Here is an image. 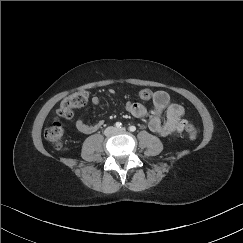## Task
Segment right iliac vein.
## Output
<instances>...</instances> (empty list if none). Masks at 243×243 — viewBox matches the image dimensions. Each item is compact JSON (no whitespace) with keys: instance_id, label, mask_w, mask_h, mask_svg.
I'll return each mask as SVG.
<instances>
[{"instance_id":"obj_1","label":"right iliac vein","mask_w":243,"mask_h":243,"mask_svg":"<svg viewBox=\"0 0 243 243\" xmlns=\"http://www.w3.org/2000/svg\"><path fill=\"white\" fill-rule=\"evenodd\" d=\"M114 131H115V129H114L113 127L108 128V132H109V133H112V132H114Z\"/></svg>"}]
</instances>
